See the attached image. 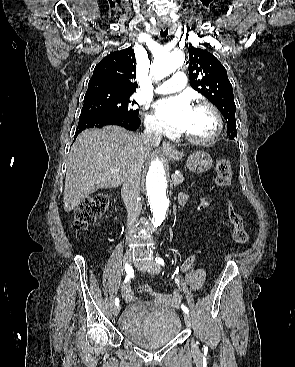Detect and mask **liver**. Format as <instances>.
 Returning <instances> with one entry per match:
<instances>
[{
    "label": "liver",
    "mask_w": 295,
    "mask_h": 367,
    "mask_svg": "<svg viewBox=\"0 0 295 367\" xmlns=\"http://www.w3.org/2000/svg\"><path fill=\"white\" fill-rule=\"evenodd\" d=\"M151 149L142 135L118 126L81 132L69 153L64 210L72 211L97 190L120 186L132 173L141 177ZM113 170L119 172L113 173Z\"/></svg>",
    "instance_id": "liver-1"
}]
</instances>
